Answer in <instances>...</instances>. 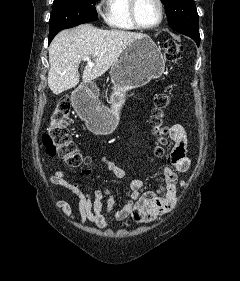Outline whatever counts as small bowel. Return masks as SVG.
Returning <instances> with one entry per match:
<instances>
[{"label": "small bowel", "instance_id": "c3829d8e", "mask_svg": "<svg viewBox=\"0 0 240 281\" xmlns=\"http://www.w3.org/2000/svg\"><path fill=\"white\" fill-rule=\"evenodd\" d=\"M171 140L169 165L162 166L155 175V183L159 186L163 180L165 191L160 187L156 190L144 191V183L140 179L128 180L125 184L124 195L127 202L120 208L111 190L99 187L93 192H84L78 182L70 179L64 172L56 170L49 177L54 185L68 189L78 198V211L83 223L94 224L99 229L109 226L107 216L120 222L121 227H129L128 219L136 223L148 224L169 212L178 200V188L185 185L184 180L178 178V172H186L191 161L187 156L188 138L185 128L181 124H172L168 130ZM101 163L119 179H126L127 173L105 155H100ZM91 169H82L81 174L89 175ZM56 207L61 209L67 217L73 214L71 205L64 200L57 201Z\"/></svg>", "mask_w": 240, "mask_h": 281}]
</instances>
